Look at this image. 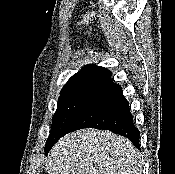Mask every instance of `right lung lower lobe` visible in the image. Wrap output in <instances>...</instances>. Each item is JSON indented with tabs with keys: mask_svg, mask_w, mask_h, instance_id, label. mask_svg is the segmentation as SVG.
Masks as SVG:
<instances>
[{
	"mask_svg": "<svg viewBox=\"0 0 175 174\" xmlns=\"http://www.w3.org/2000/svg\"><path fill=\"white\" fill-rule=\"evenodd\" d=\"M87 127L110 130L125 136L136 148L140 149V133L134 126L129 103L122 93L121 86L115 84L111 78L89 93L70 121L63 136ZM53 145L45 147V152L48 153Z\"/></svg>",
	"mask_w": 175,
	"mask_h": 174,
	"instance_id": "1",
	"label": "right lung lower lobe"
}]
</instances>
